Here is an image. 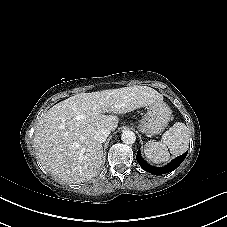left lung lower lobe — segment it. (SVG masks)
Returning a JSON list of instances; mask_svg holds the SVG:
<instances>
[{"mask_svg": "<svg viewBox=\"0 0 227 227\" xmlns=\"http://www.w3.org/2000/svg\"><path fill=\"white\" fill-rule=\"evenodd\" d=\"M187 153H188V151L185 152L184 154L176 157L168 165H166L164 167H153V166L149 165L148 163H146L140 155V149L137 152L136 159H137L138 163L140 164V166L145 171L152 173V174L160 175V174L169 173V172L175 170L184 161Z\"/></svg>", "mask_w": 227, "mask_h": 227, "instance_id": "obj_1", "label": "left lung lower lobe"}]
</instances>
